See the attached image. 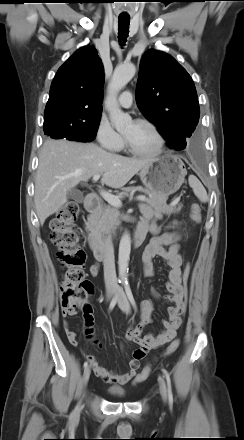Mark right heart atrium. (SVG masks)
<instances>
[{
  "label": "right heart atrium",
  "mask_w": 244,
  "mask_h": 440,
  "mask_svg": "<svg viewBox=\"0 0 244 440\" xmlns=\"http://www.w3.org/2000/svg\"><path fill=\"white\" fill-rule=\"evenodd\" d=\"M95 137L101 147L110 151L119 150L123 145L122 136L115 131L110 121L105 116H102L99 119L95 131Z\"/></svg>",
  "instance_id": "obj_1"
}]
</instances>
